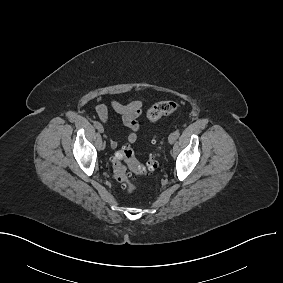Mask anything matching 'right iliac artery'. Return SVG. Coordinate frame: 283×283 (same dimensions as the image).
<instances>
[{"mask_svg":"<svg viewBox=\"0 0 283 283\" xmlns=\"http://www.w3.org/2000/svg\"><path fill=\"white\" fill-rule=\"evenodd\" d=\"M93 124L95 128H98L101 125L98 121H94Z\"/></svg>","mask_w":283,"mask_h":283,"instance_id":"obj_1","label":"right iliac artery"}]
</instances>
